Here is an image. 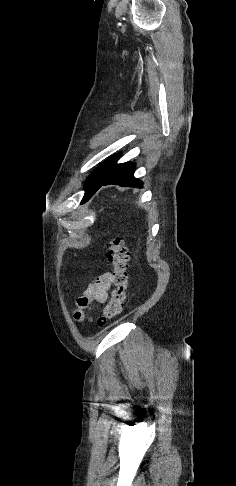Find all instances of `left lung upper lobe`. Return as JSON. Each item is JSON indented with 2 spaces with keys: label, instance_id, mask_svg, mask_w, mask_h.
Listing matches in <instances>:
<instances>
[{
  "label": "left lung upper lobe",
  "instance_id": "obj_1",
  "mask_svg": "<svg viewBox=\"0 0 236 486\" xmlns=\"http://www.w3.org/2000/svg\"><path fill=\"white\" fill-rule=\"evenodd\" d=\"M120 154L112 156L110 159L106 160L99 166L93 174L87 180V185L85 187V195L81 203L88 201L93 194L98 190L99 184L108 176L111 170L115 167L116 161Z\"/></svg>",
  "mask_w": 236,
  "mask_h": 486
}]
</instances>
